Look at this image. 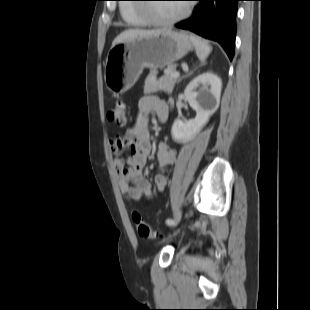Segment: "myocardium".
Segmentation results:
<instances>
[{"instance_id":"f54148a6","label":"myocardium","mask_w":310,"mask_h":310,"mask_svg":"<svg viewBox=\"0 0 310 310\" xmlns=\"http://www.w3.org/2000/svg\"><path fill=\"white\" fill-rule=\"evenodd\" d=\"M139 10L145 16H148V14L151 15V17L149 18V21L151 24L158 25V26H168V25H173L181 21L185 17H187L191 11V5H187L185 8L182 9V11L178 15L171 17V18H160V17L152 16V10H149L148 12L142 8Z\"/></svg>"}]
</instances>
